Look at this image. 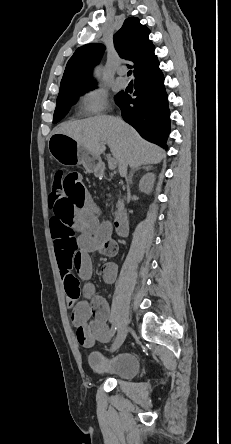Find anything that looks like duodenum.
I'll use <instances>...</instances> for the list:
<instances>
[{
    "instance_id": "410a0bca",
    "label": "duodenum",
    "mask_w": 231,
    "mask_h": 444,
    "mask_svg": "<svg viewBox=\"0 0 231 444\" xmlns=\"http://www.w3.org/2000/svg\"><path fill=\"white\" fill-rule=\"evenodd\" d=\"M114 231L118 236L128 235V219L124 214L118 215L113 221Z\"/></svg>"
}]
</instances>
